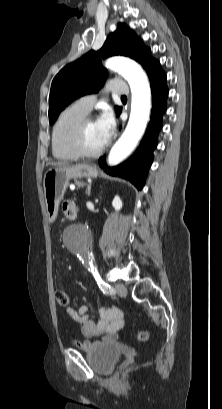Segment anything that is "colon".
<instances>
[{"label": "colon", "instance_id": "colon-1", "mask_svg": "<svg viewBox=\"0 0 222 409\" xmlns=\"http://www.w3.org/2000/svg\"><path fill=\"white\" fill-rule=\"evenodd\" d=\"M56 300L60 307H67L69 305V294L64 290H57L56 291ZM138 340L146 341L149 338V333L147 330H141L138 332L137 335Z\"/></svg>", "mask_w": 222, "mask_h": 409}]
</instances>
